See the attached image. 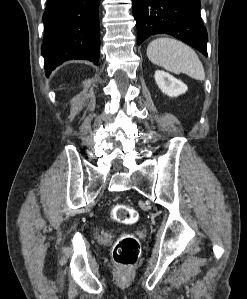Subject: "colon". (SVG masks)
Segmentation results:
<instances>
[{
    "label": "colon",
    "mask_w": 247,
    "mask_h": 299,
    "mask_svg": "<svg viewBox=\"0 0 247 299\" xmlns=\"http://www.w3.org/2000/svg\"><path fill=\"white\" fill-rule=\"evenodd\" d=\"M111 217L120 224H133L138 219V212L132 206L117 204L111 211ZM140 255L139 240L132 234H121L112 247L113 261L122 268H130Z\"/></svg>",
    "instance_id": "obj_1"
}]
</instances>
